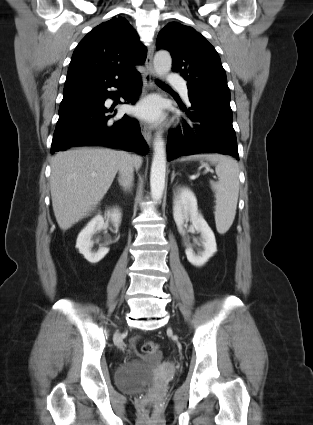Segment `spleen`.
Instances as JSON below:
<instances>
[{"mask_svg":"<svg viewBox=\"0 0 313 425\" xmlns=\"http://www.w3.org/2000/svg\"><path fill=\"white\" fill-rule=\"evenodd\" d=\"M190 159H205L215 165L218 181H210L215 192V222L220 234L226 233L233 224L238 195H239V167L232 157L221 154L194 155Z\"/></svg>","mask_w":313,"mask_h":425,"instance_id":"spleen-1","label":"spleen"}]
</instances>
